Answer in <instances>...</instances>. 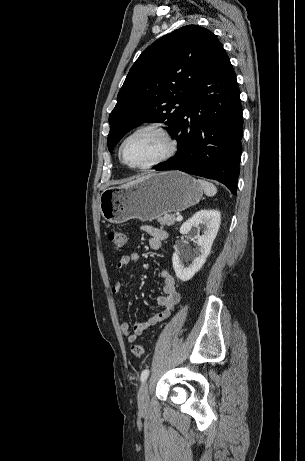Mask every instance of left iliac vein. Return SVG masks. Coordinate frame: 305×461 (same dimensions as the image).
<instances>
[{
	"mask_svg": "<svg viewBox=\"0 0 305 461\" xmlns=\"http://www.w3.org/2000/svg\"><path fill=\"white\" fill-rule=\"evenodd\" d=\"M138 406L141 410H146L149 407V393H148V383L143 382L138 391Z\"/></svg>",
	"mask_w": 305,
	"mask_h": 461,
	"instance_id": "4c4485c4",
	"label": "left iliac vein"
}]
</instances>
